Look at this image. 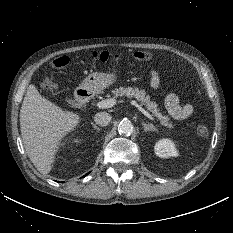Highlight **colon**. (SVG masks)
<instances>
[{"label":"colon","instance_id":"colon-1","mask_svg":"<svg viewBox=\"0 0 233 233\" xmlns=\"http://www.w3.org/2000/svg\"><path fill=\"white\" fill-rule=\"evenodd\" d=\"M90 57L102 62H115L120 60V55L110 54L109 52H92ZM133 59L137 61H147L151 59V54L146 51H137L133 54ZM70 62V58L66 55L59 56L52 61V66L56 69H61L66 67ZM44 89L48 93H54L57 89V84L53 77H46L44 80ZM197 133L200 137L206 138L209 134L208 128L205 124H199L197 126Z\"/></svg>","mask_w":233,"mask_h":233}]
</instances>
